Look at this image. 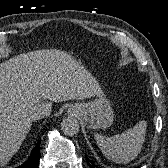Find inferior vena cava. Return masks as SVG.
<instances>
[{
	"label": "inferior vena cava",
	"mask_w": 168,
	"mask_h": 168,
	"mask_svg": "<svg viewBox=\"0 0 168 168\" xmlns=\"http://www.w3.org/2000/svg\"><path fill=\"white\" fill-rule=\"evenodd\" d=\"M49 114V108L46 105H40L29 111V118L33 121H36L44 118L45 116H48Z\"/></svg>",
	"instance_id": "obj_1"
}]
</instances>
